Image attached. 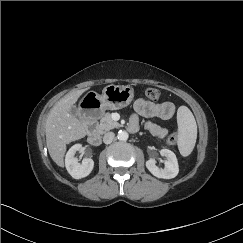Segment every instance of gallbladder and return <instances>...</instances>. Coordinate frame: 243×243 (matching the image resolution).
Wrapping results in <instances>:
<instances>
[{"label":"gallbladder","mask_w":243,"mask_h":243,"mask_svg":"<svg viewBox=\"0 0 243 243\" xmlns=\"http://www.w3.org/2000/svg\"><path fill=\"white\" fill-rule=\"evenodd\" d=\"M78 113H79V110H78V108H77L76 106H72V107L70 108V114H71V115L77 117V116H78Z\"/></svg>","instance_id":"bac80fb5"}]
</instances>
